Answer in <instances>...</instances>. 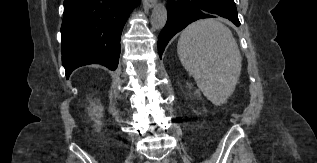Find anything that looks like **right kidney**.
I'll return each instance as SVG.
<instances>
[{
  "instance_id": "obj_1",
  "label": "right kidney",
  "mask_w": 317,
  "mask_h": 163,
  "mask_svg": "<svg viewBox=\"0 0 317 163\" xmlns=\"http://www.w3.org/2000/svg\"><path fill=\"white\" fill-rule=\"evenodd\" d=\"M89 116L91 119L95 122V128L96 130H100V127L102 125L101 123V117L103 116V107L101 104H96L95 102H91L89 107Z\"/></svg>"
}]
</instances>
